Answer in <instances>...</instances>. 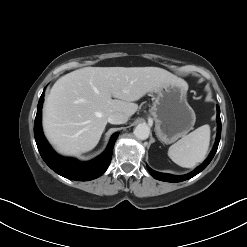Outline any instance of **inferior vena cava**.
Here are the masks:
<instances>
[{"label":"inferior vena cava","mask_w":247,"mask_h":247,"mask_svg":"<svg viewBox=\"0 0 247 247\" xmlns=\"http://www.w3.org/2000/svg\"><path fill=\"white\" fill-rule=\"evenodd\" d=\"M128 116L121 112H114L108 116V122L111 124H124L128 121Z\"/></svg>","instance_id":"obj_1"}]
</instances>
